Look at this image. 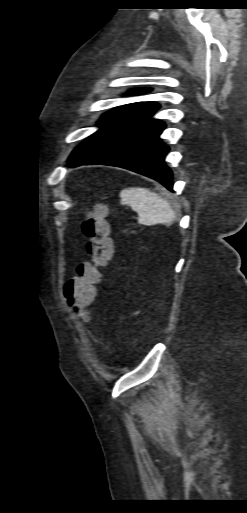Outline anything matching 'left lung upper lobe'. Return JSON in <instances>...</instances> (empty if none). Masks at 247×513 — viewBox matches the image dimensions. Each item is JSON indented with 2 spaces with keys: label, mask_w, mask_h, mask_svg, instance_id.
Instances as JSON below:
<instances>
[{
  "label": "left lung upper lobe",
  "mask_w": 247,
  "mask_h": 513,
  "mask_svg": "<svg viewBox=\"0 0 247 513\" xmlns=\"http://www.w3.org/2000/svg\"><path fill=\"white\" fill-rule=\"evenodd\" d=\"M146 91H150V89H137V90H133V91H130L131 93H137V92H146Z\"/></svg>",
  "instance_id": "obj_1"
}]
</instances>
